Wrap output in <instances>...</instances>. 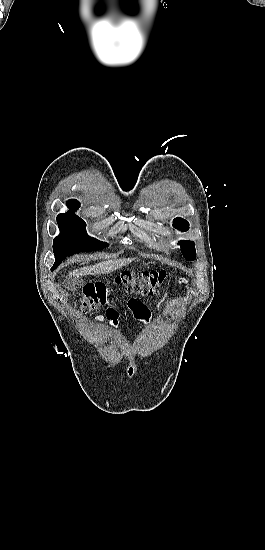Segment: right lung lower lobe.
<instances>
[{
  "instance_id": "right-lung-lower-lobe-1",
  "label": "right lung lower lobe",
  "mask_w": 265,
  "mask_h": 550,
  "mask_svg": "<svg viewBox=\"0 0 265 550\" xmlns=\"http://www.w3.org/2000/svg\"><path fill=\"white\" fill-rule=\"evenodd\" d=\"M57 267H52L51 270L53 271L54 269H56Z\"/></svg>"
}]
</instances>
